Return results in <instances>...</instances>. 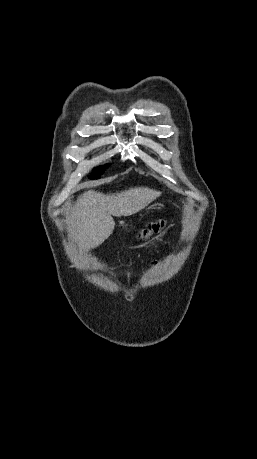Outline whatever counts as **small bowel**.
I'll use <instances>...</instances> for the list:
<instances>
[{
  "instance_id": "1",
  "label": "small bowel",
  "mask_w": 257,
  "mask_h": 459,
  "mask_svg": "<svg viewBox=\"0 0 257 459\" xmlns=\"http://www.w3.org/2000/svg\"><path fill=\"white\" fill-rule=\"evenodd\" d=\"M166 219H161V221L159 220H154L152 222V224H147L146 225V230H140L139 232V237H138V242L139 243H144L145 242V239H149L150 237V232L149 231H153L154 229H159L161 227V224H166Z\"/></svg>"
}]
</instances>
